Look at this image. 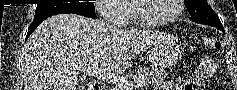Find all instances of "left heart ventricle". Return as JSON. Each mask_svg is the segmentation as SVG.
I'll list each match as a JSON object with an SVG mask.
<instances>
[{
    "label": "left heart ventricle",
    "mask_w": 237,
    "mask_h": 90,
    "mask_svg": "<svg viewBox=\"0 0 237 90\" xmlns=\"http://www.w3.org/2000/svg\"><path fill=\"white\" fill-rule=\"evenodd\" d=\"M174 0L137 1V7L143 18L150 21L166 18L174 9Z\"/></svg>",
    "instance_id": "1"
}]
</instances>
